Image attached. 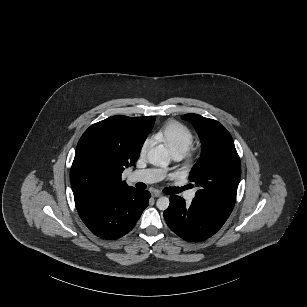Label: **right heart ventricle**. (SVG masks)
Instances as JSON below:
<instances>
[{
	"instance_id": "right-heart-ventricle-1",
	"label": "right heart ventricle",
	"mask_w": 307,
	"mask_h": 307,
	"mask_svg": "<svg viewBox=\"0 0 307 307\" xmlns=\"http://www.w3.org/2000/svg\"><path fill=\"white\" fill-rule=\"evenodd\" d=\"M154 138L163 142L173 154L184 155L193 144V135L177 123H169L155 129Z\"/></svg>"
}]
</instances>
